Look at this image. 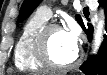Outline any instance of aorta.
<instances>
[{
	"mask_svg": "<svg viewBox=\"0 0 107 75\" xmlns=\"http://www.w3.org/2000/svg\"><path fill=\"white\" fill-rule=\"evenodd\" d=\"M104 25H105L104 17H102L97 25L95 35H94V51H93L94 53H96V51L98 50L102 42Z\"/></svg>",
	"mask_w": 107,
	"mask_h": 75,
	"instance_id": "1",
	"label": "aorta"
}]
</instances>
